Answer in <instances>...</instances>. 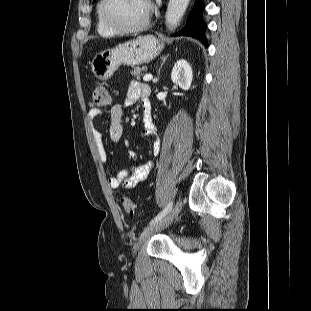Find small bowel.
<instances>
[{"mask_svg":"<svg viewBox=\"0 0 311 311\" xmlns=\"http://www.w3.org/2000/svg\"><path fill=\"white\" fill-rule=\"evenodd\" d=\"M151 89L148 85L138 81H132L129 84L126 96L122 104H114L111 106L109 115V137L112 142L118 143L123 136V115L124 108L134 105L140 101L143 108V129L142 135L152 140V150L155 155L160 152V144L157 140L158 129L154 125L151 114L150 105ZM101 110L91 108L86 115L87 122L97 152L102 161L106 160V151L103 144L102 133L96 127L95 121L101 115ZM152 169L151 162L144 163L139 166H130L119 171L117 174L109 176L108 185L112 190L118 191L120 187L127 189L135 188L139 183L144 181Z\"/></svg>","mask_w":311,"mask_h":311,"instance_id":"obj_1","label":"small bowel"}]
</instances>
